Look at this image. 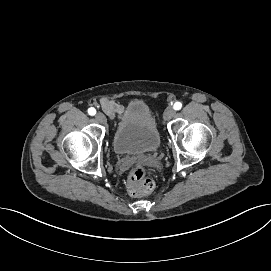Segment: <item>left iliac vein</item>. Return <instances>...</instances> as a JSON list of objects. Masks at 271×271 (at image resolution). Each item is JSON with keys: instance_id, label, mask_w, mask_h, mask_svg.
Masks as SVG:
<instances>
[{"instance_id": "1", "label": "left iliac vein", "mask_w": 271, "mask_h": 271, "mask_svg": "<svg viewBox=\"0 0 271 271\" xmlns=\"http://www.w3.org/2000/svg\"><path fill=\"white\" fill-rule=\"evenodd\" d=\"M175 114H176V111H175V109L173 107H167L166 110L164 111L163 119L164 120H169L172 117H174Z\"/></svg>"}]
</instances>
